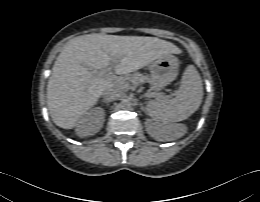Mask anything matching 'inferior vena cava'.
Wrapping results in <instances>:
<instances>
[{"label":"inferior vena cava","instance_id":"obj_1","mask_svg":"<svg viewBox=\"0 0 260 202\" xmlns=\"http://www.w3.org/2000/svg\"><path fill=\"white\" fill-rule=\"evenodd\" d=\"M123 95V90L120 87H112L103 92V98L106 101L119 100Z\"/></svg>","mask_w":260,"mask_h":202}]
</instances>
